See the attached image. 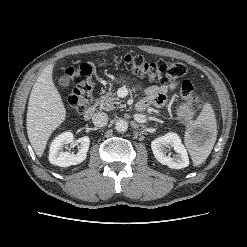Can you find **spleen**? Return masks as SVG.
I'll return each instance as SVG.
<instances>
[{
  "label": "spleen",
  "mask_w": 247,
  "mask_h": 247,
  "mask_svg": "<svg viewBox=\"0 0 247 247\" xmlns=\"http://www.w3.org/2000/svg\"><path fill=\"white\" fill-rule=\"evenodd\" d=\"M194 126L203 128L208 132V137L203 143H196L190 136V130L185 135V143L192 161L194 165H200L211 153L217 136L216 118L211 104H204L200 115L194 122Z\"/></svg>",
  "instance_id": "3e777b00"
}]
</instances>
